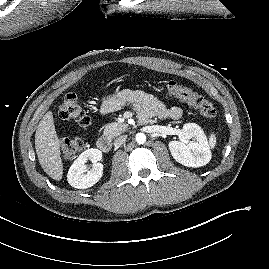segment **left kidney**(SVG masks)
Wrapping results in <instances>:
<instances>
[{"mask_svg":"<svg viewBox=\"0 0 269 269\" xmlns=\"http://www.w3.org/2000/svg\"><path fill=\"white\" fill-rule=\"evenodd\" d=\"M181 141H170L169 149L173 158L187 167H201L211 160L210 145L202 128L187 123L181 131ZM193 138V141L190 139Z\"/></svg>","mask_w":269,"mask_h":269,"instance_id":"5707ae66","label":"left kidney"}]
</instances>
